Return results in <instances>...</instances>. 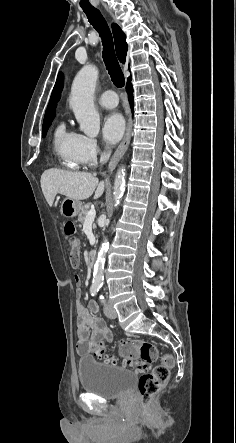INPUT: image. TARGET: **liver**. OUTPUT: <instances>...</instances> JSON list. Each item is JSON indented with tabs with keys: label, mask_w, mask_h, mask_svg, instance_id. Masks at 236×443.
<instances>
[{
	"label": "liver",
	"mask_w": 236,
	"mask_h": 443,
	"mask_svg": "<svg viewBox=\"0 0 236 443\" xmlns=\"http://www.w3.org/2000/svg\"><path fill=\"white\" fill-rule=\"evenodd\" d=\"M40 183L44 197L50 207L53 205L57 194L80 201L89 198L94 192V199H97L102 196L105 189L104 182H99L94 174L55 168L44 171Z\"/></svg>",
	"instance_id": "6515ba94"
}]
</instances>
